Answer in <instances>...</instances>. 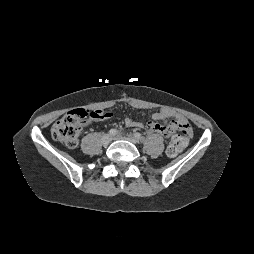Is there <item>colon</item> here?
<instances>
[{
	"mask_svg": "<svg viewBox=\"0 0 254 254\" xmlns=\"http://www.w3.org/2000/svg\"><path fill=\"white\" fill-rule=\"evenodd\" d=\"M100 111H88L86 109H76L59 120L51 129V135L56 140L65 144L69 148H75L78 144L82 124L88 119H96L100 116ZM173 128L183 134L190 133V126L187 123H174ZM188 144V138L182 135H175L171 140L167 153L170 156L177 155Z\"/></svg>",
	"mask_w": 254,
	"mask_h": 254,
	"instance_id": "1",
	"label": "colon"
}]
</instances>
